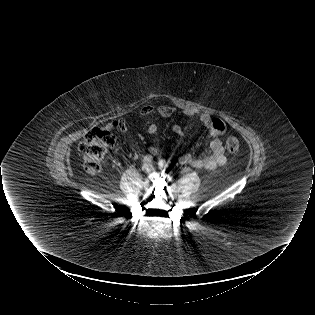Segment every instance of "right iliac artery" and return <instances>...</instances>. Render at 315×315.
Masks as SVG:
<instances>
[{
    "label": "right iliac artery",
    "mask_w": 315,
    "mask_h": 315,
    "mask_svg": "<svg viewBox=\"0 0 315 315\" xmlns=\"http://www.w3.org/2000/svg\"><path fill=\"white\" fill-rule=\"evenodd\" d=\"M144 162H151L152 161V156L151 155H146L143 159Z\"/></svg>",
    "instance_id": "obj_1"
}]
</instances>
